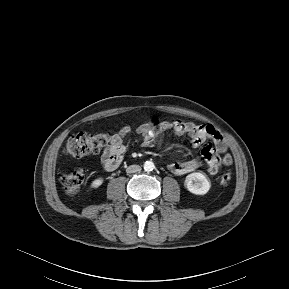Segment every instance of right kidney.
<instances>
[{"mask_svg":"<svg viewBox=\"0 0 289 289\" xmlns=\"http://www.w3.org/2000/svg\"><path fill=\"white\" fill-rule=\"evenodd\" d=\"M103 183V179L101 177L95 179L92 181L91 183V188H98L99 186H101Z\"/></svg>","mask_w":289,"mask_h":289,"instance_id":"1","label":"right kidney"}]
</instances>
